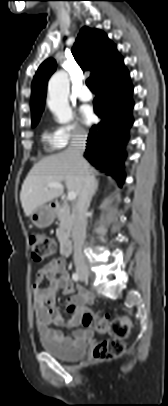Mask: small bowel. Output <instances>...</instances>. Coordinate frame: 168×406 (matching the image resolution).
<instances>
[{"instance_id":"c3829d8e","label":"small bowel","mask_w":168,"mask_h":406,"mask_svg":"<svg viewBox=\"0 0 168 406\" xmlns=\"http://www.w3.org/2000/svg\"><path fill=\"white\" fill-rule=\"evenodd\" d=\"M44 280H47V285L40 287ZM33 288V308L37 329L41 336L53 343L70 346L74 344L75 339H79L87 334L83 330H74L73 339L53 328V326L64 325V319L60 309L56 305V293L58 290H61L66 295L77 292L64 302V306L73 309L72 316L66 324L68 328H76L80 325L82 314L89 312L86 310V306L94 302V297L90 292L77 288L73 284L63 258L54 259L39 269L36 273Z\"/></svg>"}]
</instances>
